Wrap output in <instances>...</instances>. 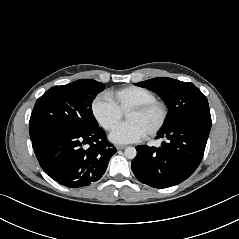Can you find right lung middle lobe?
<instances>
[{"instance_id": "right-lung-middle-lobe-1", "label": "right lung middle lobe", "mask_w": 239, "mask_h": 239, "mask_svg": "<svg viewBox=\"0 0 239 239\" xmlns=\"http://www.w3.org/2000/svg\"><path fill=\"white\" fill-rule=\"evenodd\" d=\"M104 88L103 83L90 79L50 88L38 98L32 111L29 122L31 140L52 129L82 131L97 127L91 105Z\"/></svg>"}]
</instances>
